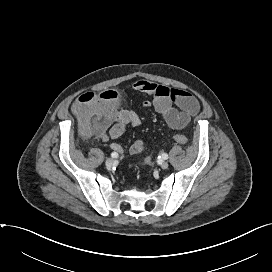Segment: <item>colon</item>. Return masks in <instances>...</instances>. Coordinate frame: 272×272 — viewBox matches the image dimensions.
<instances>
[{"label": "colon", "instance_id": "obj_1", "mask_svg": "<svg viewBox=\"0 0 272 272\" xmlns=\"http://www.w3.org/2000/svg\"><path fill=\"white\" fill-rule=\"evenodd\" d=\"M117 93L113 90L102 93L86 92L73 103L72 110L81 122L85 133L101 131L108 122L116 118ZM173 140L179 144L188 143V138L177 134Z\"/></svg>", "mask_w": 272, "mask_h": 272}]
</instances>
